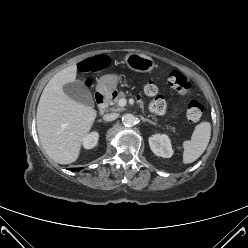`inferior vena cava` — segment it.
<instances>
[{
    "mask_svg": "<svg viewBox=\"0 0 248 248\" xmlns=\"http://www.w3.org/2000/svg\"><path fill=\"white\" fill-rule=\"evenodd\" d=\"M118 114L117 113H109V114H105L103 116V120L104 121H107V122H110V121H114L115 119L118 118Z\"/></svg>",
    "mask_w": 248,
    "mask_h": 248,
    "instance_id": "1",
    "label": "inferior vena cava"
}]
</instances>
